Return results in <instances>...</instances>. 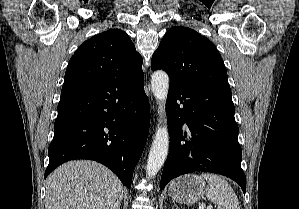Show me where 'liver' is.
<instances>
[{"label":"liver","instance_id":"liver-1","mask_svg":"<svg viewBox=\"0 0 299 209\" xmlns=\"http://www.w3.org/2000/svg\"><path fill=\"white\" fill-rule=\"evenodd\" d=\"M124 186L105 166L90 160L67 162L46 182V209H117Z\"/></svg>","mask_w":299,"mask_h":209}]
</instances>
